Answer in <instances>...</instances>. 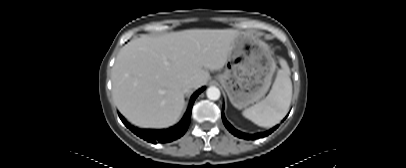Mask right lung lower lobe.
<instances>
[{"mask_svg": "<svg viewBox=\"0 0 406 168\" xmlns=\"http://www.w3.org/2000/svg\"><path fill=\"white\" fill-rule=\"evenodd\" d=\"M204 90V87L199 89L191 99L190 106L182 118V120L174 127L167 129V130H146V129H137L132 126H130L121 116L120 119L124 123V125L129 128L134 134L139 136L140 138L151 142L153 144L156 143H167V142H172L180 137H182L186 130L188 129L190 119H191V112H192V107L195 99L197 96Z\"/></svg>", "mask_w": 406, "mask_h": 168, "instance_id": "right-lung-lower-lobe-1", "label": "right lung lower lobe"}]
</instances>
